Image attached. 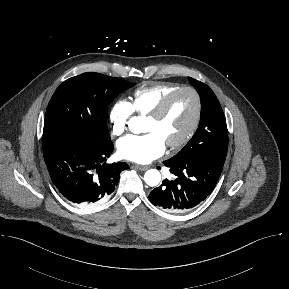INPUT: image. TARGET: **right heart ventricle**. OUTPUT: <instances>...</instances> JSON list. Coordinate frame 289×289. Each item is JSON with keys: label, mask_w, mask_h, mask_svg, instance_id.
<instances>
[{"label": "right heart ventricle", "mask_w": 289, "mask_h": 289, "mask_svg": "<svg viewBox=\"0 0 289 289\" xmlns=\"http://www.w3.org/2000/svg\"><path fill=\"white\" fill-rule=\"evenodd\" d=\"M180 87L173 83H150L137 88L133 92L131 105L138 115H148L173 90Z\"/></svg>", "instance_id": "right-heart-ventricle-1"}]
</instances>
